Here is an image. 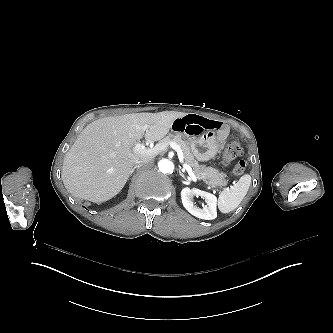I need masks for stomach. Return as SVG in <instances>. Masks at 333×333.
<instances>
[{
	"mask_svg": "<svg viewBox=\"0 0 333 333\" xmlns=\"http://www.w3.org/2000/svg\"><path fill=\"white\" fill-rule=\"evenodd\" d=\"M192 154L201 162L214 158L223 148V143L217 137L214 129H205L200 135L192 137Z\"/></svg>",
	"mask_w": 333,
	"mask_h": 333,
	"instance_id": "obj_1",
	"label": "stomach"
}]
</instances>
